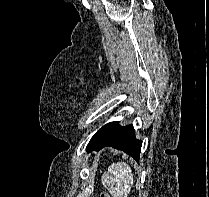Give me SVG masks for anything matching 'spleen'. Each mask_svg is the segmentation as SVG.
<instances>
[{
  "mask_svg": "<svg viewBox=\"0 0 209 197\" xmlns=\"http://www.w3.org/2000/svg\"><path fill=\"white\" fill-rule=\"evenodd\" d=\"M101 181L113 197H127L134 184L132 170L125 162L112 163Z\"/></svg>",
  "mask_w": 209,
  "mask_h": 197,
  "instance_id": "spleen-1",
  "label": "spleen"
}]
</instances>
